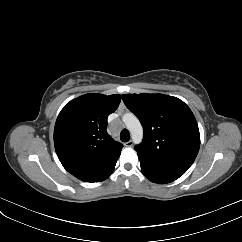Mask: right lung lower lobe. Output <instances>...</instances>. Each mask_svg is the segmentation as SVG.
I'll return each mask as SVG.
<instances>
[{"instance_id":"98d812e1","label":"right lung lower lobe","mask_w":242,"mask_h":242,"mask_svg":"<svg viewBox=\"0 0 242 242\" xmlns=\"http://www.w3.org/2000/svg\"><path fill=\"white\" fill-rule=\"evenodd\" d=\"M115 165H113L112 167H110L102 176L99 177V179H97V181L95 182H99V181H103L106 178L109 177V175L112 173V171L114 170Z\"/></svg>"}]
</instances>
